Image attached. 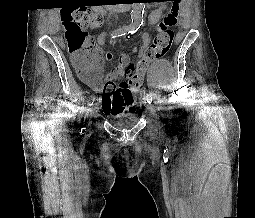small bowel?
I'll return each instance as SVG.
<instances>
[{"mask_svg":"<svg viewBox=\"0 0 255 218\" xmlns=\"http://www.w3.org/2000/svg\"><path fill=\"white\" fill-rule=\"evenodd\" d=\"M179 9V8H178ZM172 11V7L169 11V13ZM165 13V9L164 7H158V8H153L150 11V16H149V22L152 25H157L160 23L161 19L163 18ZM107 37V32H102L96 40V54H88L90 56V61H88V65L89 68L91 69L92 72L94 73H98V69H97V65L100 63L105 62L106 60H109L111 58L110 54H104L101 51V47L105 44V40ZM149 44V39L147 37L144 38L143 41V47L142 50H144L147 45ZM143 53L140 54V57L142 56ZM130 64V60L126 55H122L120 57V61H119V66L117 69H115L114 71L108 73L105 77V81L107 80H114L115 78H119L124 79L126 74H127V70H128V66ZM99 93L102 94L101 98H100V102L102 104L103 99H104V91L103 88H97L96 89ZM103 107V106H102ZM104 110V108H103ZM105 111V110H104ZM106 112V111H105Z\"/></svg>","mask_w":255,"mask_h":218,"instance_id":"c3829d8e","label":"small bowel"}]
</instances>
